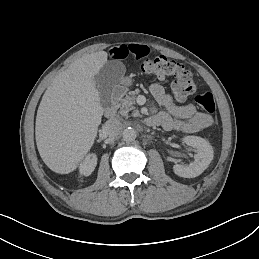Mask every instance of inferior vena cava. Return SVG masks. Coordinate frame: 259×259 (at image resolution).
I'll list each match as a JSON object with an SVG mask.
<instances>
[{
    "label": "inferior vena cava",
    "instance_id": "obj_1",
    "mask_svg": "<svg viewBox=\"0 0 259 259\" xmlns=\"http://www.w3.org/2000/svg\"><path fill=\"white\" fill-rule=\"evenodd\" d=\"M105 126H106L107 133L110 136H115V137L120 134L122 129L121 122L116 118H112L106 121Z\"/></svg>",
    "mask_w": 259,
    "mask_h": 259
}]
</instances>
